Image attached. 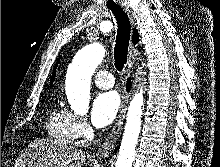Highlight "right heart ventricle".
Wrapping results in <instances>:
<instances>
[{"label":"right heart ventricle","mask_w":220,"mask_h":167,"mask_svg":"<svg viewBox=\"0 0 220 167\" xmlns=\"http://www.w3.org/2000/svg\"><path fill=\"white\" fill-rule=\"evenodd\" d=\"M46 131L52 139L64 146L75 143L76 135L72 126L71 112L53 106L48 114Z\"/></svg>","instance_id":"right-heart-ventricle-1"}]
</instances>
